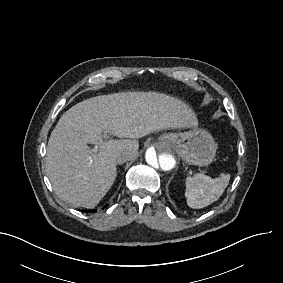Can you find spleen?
<instances>
[{
    "instance_id": "3e777b00",
    "label": "spleen",
    "mask_w": 283,
    "mask_h": 283,
    "mask_svg": "<svg viewBox=\"0 0 283 283\" xmlns=\"http://www.w3.org/2000/svg\"><path fill=\"white\" fill-rule=\"evenodd\" d=\"M229 180L230 174L224 173L214 179L202 173L187 177L185 191L187 205L193 209H201L212 204L223 194Z\"/></svg>"
}]
</instances>
